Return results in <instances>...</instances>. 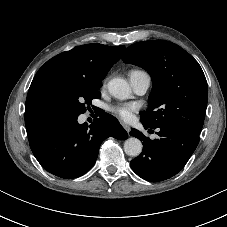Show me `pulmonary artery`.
<instances>
[{
	"label": "pulmonary artery",
	"mask_w": 227,
	"mask_h": 227,
	"mask_svg": "<svg viewBox=\"0 0 227 227\" xmlns=\"http://www.w3.org/2000/svg\"><path fill=\"white\" fill-rule=\"evenodd\" d=\"M130 82L133 90L137 94H144L151 84V79L148 73L144 71L134 72L130 74Z\"/></svg>",
	"instance_id": "obj_1"
}]
</instances>
